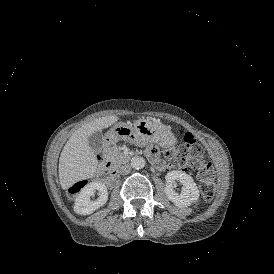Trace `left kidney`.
Segmentation results:
<instances>
[{
	"label": "left kidney",
	"instance_id": "left-kidney-1",
	"mask_svg": "<svg viewBox=\"0 0 274 274\" xmlns=\"http://www.w3.org/2000/svg\"><path fill=\"white\" fill-rule=\"evenodd\" d=\"M165 193L167 197L178 206H187L199 198V190L193 178L183 171H170L165 176ZM175 181L182 184V191L179 193L175 188Z\"/></svg>",
	"mask_w": 274,
	"mask_h": 274
}]
</instances>
